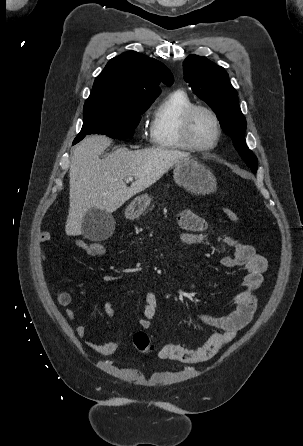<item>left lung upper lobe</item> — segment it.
Here are the masks:
<instances>
[{
  "label": "left lung upper lobe",
  "mask_w": 303,
  "mask_h": 446,
  "mask_svg": "<svg viewBox=\"0 0 303 446\" xmlns=\"http://www.w3.org/2000/svg\"><path fill=\"white\" fill-rule=\"evenodd\" d=\"M184 79L193 92L216 113L222 129L233 139L241 158L256 173L258 161L244 137L246 119L238 105V96L221 66L204 56L189 55L184 61Z\"/></svg>",
  "instance_id": "1"
}]
</instances>
